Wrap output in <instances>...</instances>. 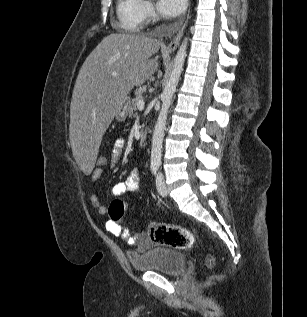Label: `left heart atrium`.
Returning a JSON list of instances; mask_svg holds the SVG:
<instances>
[{
    "instance_id": "1",
    "label": "left heart atrium",
    "mask_w": 307,
    "mask_h": 317,
    "mask_svg": "<svg viewBox=\"0 0 307 317\" xmlns=\"http://www.w3.org/2000/svg\"><path fill=\"white\" fill-rule=\"evenodd\" d=\"M186 0H158L157 7L161 14L166 17H176L185 8Z\"/></svg>"
}]
</instances>
